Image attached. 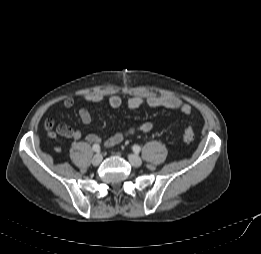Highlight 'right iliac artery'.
<instances>
[{"label":"right iliac artery","instance_id":"right-iliac-artery-1","mask_svg":"<svg viewBox=\"0 0 261 254\" xmlns=\"http://www.w3.org/2000/svg\"><path fill=\"white\" fill-rule=\"evenodd\" d=\"M92 149L95 152H99L100 151V146L98 144H94Z\"/></svg>","mask_w":261,"mask_h":254}]
</instances>
